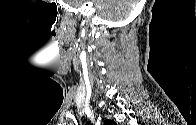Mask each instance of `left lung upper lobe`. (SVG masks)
Here are the masks:
<instances>
[{
	"label": "left lung upper lobe",
	"instance_id": "obj_1",
	"mask_svg": "<svg viewBox=\"0 0 196 125\" xmlns=\"http://www.w3.org/2000/svg\"><path fill=\"white\" fill-rule=\"evenodd\" d=\"M110 124L115 125V123H114V122H112V121H110Z\"/></svg>",
	"mask_w": 196,
	"mask_h": 125
}]
</instances>
